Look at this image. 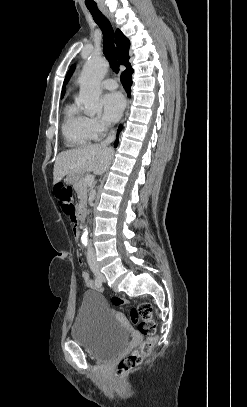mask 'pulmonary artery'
Returning a JSON list of instances; mask_svg holds the SVG:
<instances>
[{"label":"pulmonary artery","mask_w":247,"mask_h":407,"mask_svg":"<svg viewBox=\"0 0 247 407\" xmlns=\"http://www.w3.org/2000/svg\"><path fill=\"white\" fill-rule=\"evenodd\" d=\"M101 86L105 89L113 90L118 87V84L114 79L108 78V79L103 80V82L101 83Z\"/></svg>","instance_id":"1"}]
</instances>
